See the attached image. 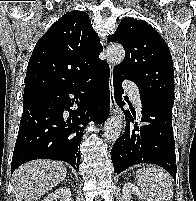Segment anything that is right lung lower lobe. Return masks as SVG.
I'll return each instance as SVG.
<instances>
[{"mask_svg": "<svg viewBox=\"0 0 196 201\" xmlns=\"http://www.w3.org/2000/svg\"><path fill=\"white\" fill-rule=\"evenodd\" d=\"M75 105L77 109H71ZM109 110L106 61L73 83L24 99L11 173L35 159L65 161L79 171L83 130L90 121L103 123Z\"/></svg>", "mask_w": 196, "mask_h": 201, "instance_id": "right-lung-lower-lobe-1", "label": "right lung lower lobe"}]
</instances>
